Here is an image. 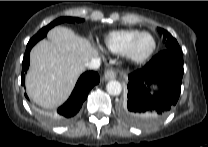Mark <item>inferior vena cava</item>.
<instances>
[{
    "mask_svg": "<svg viewBox=\"0 0 208 147\" xmlns=\"http://www.w3.org/2000/svg\"><path fill=\"white\" fill-rule=\"evenodd\" d=\"M85 67L89 69H98L100 67V59L93 58L89 62L85 63Z\"/></svg>",
    "mask_w": 208,
    "mask_h": 147,
    "instance_id": "obj_1",
    "label": "inferior vena cava"
}]
</instances>
